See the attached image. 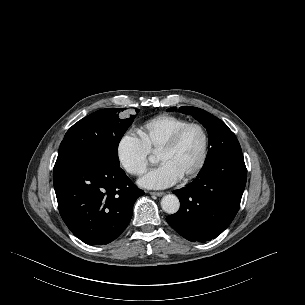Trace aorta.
I'll list each match as a JSON object with an SVG mask.
<instances>
[{"mask_svg":"<svg viewBox=\"0 0 305 305\" xmlns=\"http://www.w3.org/2000/svg\"><path fill=\"white\" fill-rule=\"evenodd\" d=\"M162 209L168 214H174L179 210L180 202L173 194L165 195L161 200Z\"/></svg>","mask_w":305,"mask_h":305,"instance_id":"aorta-1","label":"aorta"}]
</instances>
